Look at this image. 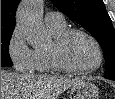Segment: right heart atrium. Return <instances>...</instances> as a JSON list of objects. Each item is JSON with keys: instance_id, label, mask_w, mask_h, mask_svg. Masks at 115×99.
<instances>
[{"instance_id": "d8ad5b80", "label": "right heart atrium", "mask_w": 115, "mask_h": 99, "mask_svg": "<svg viewBox=\"0 0 115 99\" xmlns=\"http://www.w3.org/2000/svg\"><path fill=\"white\" fill-rule=\"evenodd\" d=\"M7 52L17 71L27 72L32 70L34 50L27 45L23 31L19 27H16L10 35Z\"/></svg>"}]
</instances>
